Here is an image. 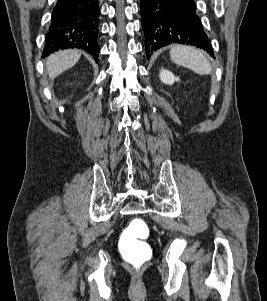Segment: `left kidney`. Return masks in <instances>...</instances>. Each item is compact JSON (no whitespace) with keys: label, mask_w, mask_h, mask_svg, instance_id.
<instances>
[{"label":"left kidney","mask_w":267,"mask_h":301,"mask_svg":"<svg viewBox=\"0 0 267 301\" xmlns=\"http://www.w3.org/2000/svg\"><path fill=\"white\" fill-rule=\"evenodd\" d=\"M159 76L160 80L167 85H171L179 80V78L175 77L171 71L166 69H161Z\"/></svg>","instance_id":"left-kidney-1"}]
</instances>
